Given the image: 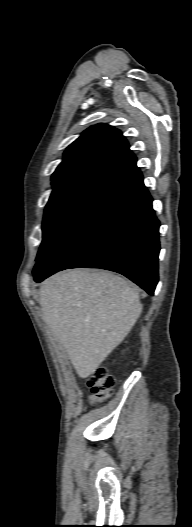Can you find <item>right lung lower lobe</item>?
Returning a JSON list of instances; mask_svg holds the SVG:
<instances>
[{
  "label": "right lung lower lobe",
  "instance_id": "1",
  "mask_svg": "<svg viewBox=\"0 0 192 527\" xmlns=\"http://www.w3.org/2000/svg\"><path fill=\"white\" fill-rule=\"evenodd\" d=\"M159 221L136 160L108 181L32 273L39 283L76 267L128 277L153 295L158 282Z\"/></svg>",
  "mask_w": 192,
  "mask_h": 527
}]
</instances>
